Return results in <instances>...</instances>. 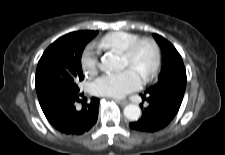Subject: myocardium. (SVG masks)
<instances>
[{
  "label": "myocardium",
  "mask_w": 225,
  "mask_h": 155,
  "mask_svg": "<svg viewBox=\"0 0 225 155\" xmlns=\"http://www.w3.org/2000/svg\"><path fill=\"white\" fill-rule=\"evenodd\" d=\"M142 45H148L153 52V62L148 70V72L142 78L144 82L149 81L152 79L155 74L157 73L160 63H161V51L158 43L150 38V37H139L134 40L123 52H121L122 57L127 58L129 61H132L138 51V49Z\"/></svg>",
  "instance_id": "obj_1"
}]
</instances>
